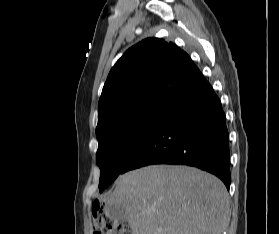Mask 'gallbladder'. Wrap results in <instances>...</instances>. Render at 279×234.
<instances>
[{
  "mask_svg": "<svg viewBox=\"0 0 279 234\" xmlns=\"http://www.w3.org/2000/svg\"><path fill=\"white\" fill-rule=\"evenodd\" d=\"M106 211L110 217L118 221L127 222L128 220L126 210L121 205H108L106 207Z\"/></svg>",
  "mask_w": 279,
  "mask_h": 234,
  "instance_id": "obj_1",
  "label": "gallbladder"
}]
</instances>
